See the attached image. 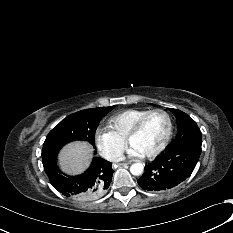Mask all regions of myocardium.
<instances>
[{
    "instance_id": "f54148a6",
    "label": "myocardium",
    "mask_w": 233,
    "mask_h": 233,
    "mask_svg": "<svg viewBox=\"0 0 233 233\" xmlns=\"http://www.w3.org/2000/svg\"><path fill=\"white\" fill-rule=\"evenodd\" d=\"M154 113H162L166 116L167 121H168V129H167V133H166L162 143L156 149H154L152 152L143 155L146 158H152V157H155L156 155H158L162 150H164V148L167 146V144L171 138L172 129H173V122H172V117L168 111H166L164 109H160V108L147 111L132 126V128L129 130V132L126 136V139H125L126 143L128 145H130L131 139L140 132L146 119Z\"/></svg>"
}]
</instances>
